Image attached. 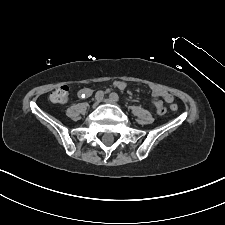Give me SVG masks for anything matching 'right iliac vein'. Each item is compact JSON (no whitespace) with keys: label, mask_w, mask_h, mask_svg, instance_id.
<instances>
[{"label":"right iliac vein","mask_w":225,"mask_h":225,"mask_svg":"<svg viewBox=\"0 0 225 225\" xmlns=\"http://www.w3.org/2000/svg\"><path fill=\"white\" fill-rule=\"evenodd\" d=\"M100 103V100H96L94 103H93V108H96Z\"/></svg>","instance_id":"63e3f726"}]
</instances>
